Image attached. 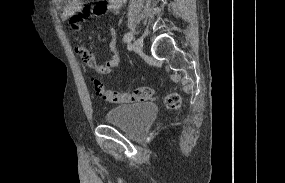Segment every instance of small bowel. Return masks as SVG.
Segmentation results:
<instances>
[{
    "label": "small bowel",
    "mask_w": 285,
    "mask_h": 183,
    "mask_svg": "<svg viewBox=\"0 0 285 183\" xmlns=\"http://www.w3.org/2000/svg\"><path fill=\"white\" fill-rule=\"evenodd\" d=\"M64 5V9L60 14L63 21L69 20L71 27L75 31L83 28L85 22L90 18H95L104 14H117L122 6V0H96L94 5H82L79 0H58ZM111 40L109 48L112 56L105 61L97 62L95 55L85 46H78L76 53L80 57L82 63L89 69L94 70L98 74L107 75L115 72L120 64V53L116 45V31L110 28Z\"/></svg>",
    "instance_id": "1"
}]
</instances>
